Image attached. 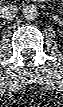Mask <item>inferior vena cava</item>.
<instances>
[{
	"label": "inferior vena cava",
	"mask_w": 63,
	"mask_h": 107,
	"mask_svg": "<svg viewBox=\"0 0 63 107\" xmlns=\"http://www.w3.org/2000/svg\"><path fill=\"white\" fill-rule=\"evenodd\" d=\"M18 8L16 5H4L0 9V14L3 19H13L17 15Z\"/></svg>",
	"instance_id": "obj_1"
}]
</instances>
